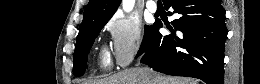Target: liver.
Listing matches in <instances>:
<instances>
[{
	"label": "liver",
	"mask_w": 260,
	"mask_h": 84,
	"mask_svg": "<svg viewBox=\"0 0 260 84\" xmlns=\"http://www.w3.org/2000/svg\"><path fill=\"white\" fill-rule=\"evenodd\" d=\"M198 81L188 77H170L142 68L121 71L101 80L89 81L85 84H197Z\"/></svg>",
	"instance_id": "obj_1"
}]
</instances>
